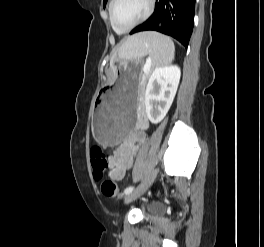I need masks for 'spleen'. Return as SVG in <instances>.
Segmentation results:
<instances>
[{"instance_id":"obj_1","label":"spleen","mask_w":264,"mask_h":247,"mask_svg":"<svg viewBox=\"0 0 264 247\" xmlns=\"http://www.w3.org/2000/svg\"><path fill=\"white\" fill-rule=\"evenodd\" d=\"M146 55L152 59L154 67L168 65L174 60V43L169 37L160 33L145 32L127 41L119 51L124 63L140 62Z\"/></svg>"}]
</instances>
